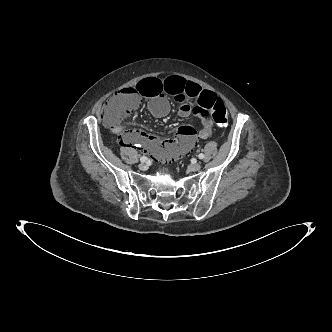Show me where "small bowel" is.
I'll use <instances>...</instances> for the list:
<instances>
[{
	"label": "small bowel",
	"instance_id": "c3829d8e",
	"mask_svg": "<svg viewBox=\"0 0 332 332\" xmlns=\"http://www.w3.org/2000/svg\"><path fill=\"white\" fill-rule=\"evenodd\" d=\"M137 95L148 102V110L157 118L165 117L170 111V100L179 104L178 115L200 118L201 128L182 126L178 137L173 140H162L144 131L131 129L122 131L121 141L124 146H139L149 152L162 167H169L177 160H183L195 139H208L212 135L213 119L210 106L216 95L202 89L197 83L187 81L180 76H151L139 78L135 82ZM196 99L198 105L190 106L188 101Z\"/></svg>",
	"mask_w": 332,
	"mask_h": 332
}]
</instances>
